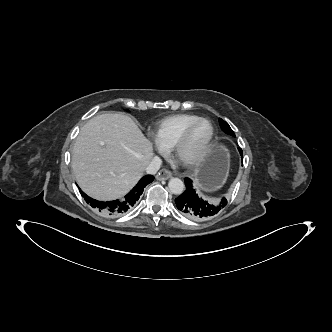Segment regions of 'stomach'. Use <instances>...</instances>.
I'll list each match as a JSON object with an SVG mask.
<instances>
[{"mask_svg":"<svg viewBox=\"0 0 332 332\" xmlns=\"http://www.w3.org/2000/svg\"><path fill=\"white\" fill-rule=\"evenodd\" d=\"M228 174V152L222 145H214L204 156L195 171V185L203 192H215Z\"/></svg>","mask_w":332,"mask_h":332,"instance_id":"stomach-1","label":"stomach"}]
</instances>
